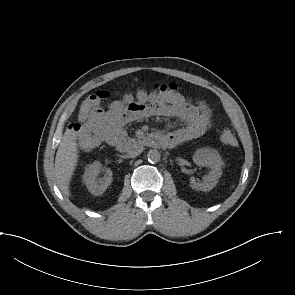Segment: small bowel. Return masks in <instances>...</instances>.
Listing matches in <instances>:
<instances>
[{
  "label": "small bowel",
  "mask_w": 295,
  "mask_h": 295,
  "mask_svg": "<svg viewBox=\"0 0 295 295\" xmlns=\"http://www.w3.org/2000/svg\"><path fill=\"white\" fill-rule=\"evenodd\" d=\"M152 116L176 118L183 123V127L164 136L166 145L171 147L200 137L212 125L211 112L202 101L193 104L178 93L141 91L125 94L106 111L97 109L87 120L85 129L99 132L100 138L90 144L83 133L77 132L80 146L90 149L100 142L116 144L124 138L126 124Z\"/></svg>",
  "instance_id": "small-bowel-1"
}]
</instances>
